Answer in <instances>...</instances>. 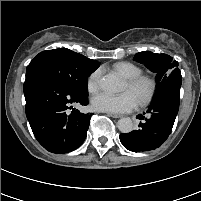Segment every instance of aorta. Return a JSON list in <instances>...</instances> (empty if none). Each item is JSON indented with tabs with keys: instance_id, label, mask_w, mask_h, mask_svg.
<instances>
[{
	"instance_id": "762f6f07",
	"label": "aorta",
	"mask_w": 201,
	"mask_h": 201,
	"mask_svg": "<svg viewBox=\"0 0 201 201\" xmlns=\"http://www.w3.org/2000/svg\"><path fill=\"white\" fill-rule=\"evenodd\" d=\"M99 85L102 90L111 93L120 92L123 89L120 79L111 73L103 76L100 79ZM117 126L122 133H130L134 127L132 120L128 117L119 119Z\"/></svg>"
}]
</instances>
